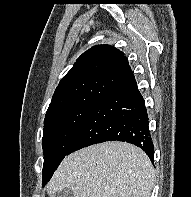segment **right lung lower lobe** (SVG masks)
Instances as JSON below:
<instances>
[{"label":"right lung lower lobe","mask_w":191,"mask_h":197,"mask_svg":"<svg viewBox=\"0 0 191 197\" xmlns=\"http://www.w3.org/2000/svg\"><path fill=\"white\" fill-rule=\"evenodd\" d=\"M105 141H122L140 147L154 158L145 102L135 78L112 88L94 106L67 155Z\"/></svg>","instance_id":"98d812e1"}]
</instances>
